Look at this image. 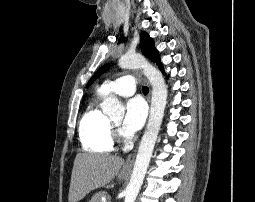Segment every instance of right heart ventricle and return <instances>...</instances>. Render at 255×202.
Listing matches in <instances>:
<instances>
[{
  "label": "right heart ventricle",
  "mask_w": 255,
  "mask_h": 202,
  "mask_svg": "<svg viewBox=\"0 0 255 202\" xmlns=\"http://www.w3.org/2000/svg\"><path fill=\"white\" fill-rule=\"evenodd\" d=\"M79 135L89 152L107 153L113 149L112 123L96 104H91L83 114Z\"/></svg>",
  "instance_id": "e07e8e85"
}]
</instances>
